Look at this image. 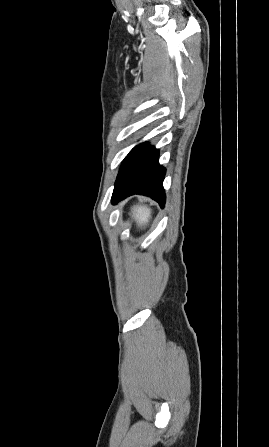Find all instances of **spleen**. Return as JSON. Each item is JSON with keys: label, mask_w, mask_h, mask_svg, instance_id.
Listing matches in <instances>:
<instances>
[{"label": "spleen", "mask_w": 269, "mask_h": 447, "mask_svg": "<svg viewBox=\"0 0 269 447\" xmlns=\"http://www.w3.org/2000/svg\"><path fill=\"white\" fill-rule=\"evenodd\" d=\"M132 218L137 225H147L151 220V210L148 206H133Z\"/></svg>", "instance_id": "3e777b00"}]
</instances>
